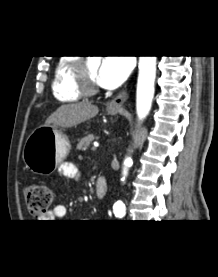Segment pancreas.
Listing matches in <instances>:
<instances>
[{
  "label": "pancreas",
  "mask_w": 218,
  "mask_h": 277,
  "mask_svg": "<svg viewBox=\"0 0 218 277\" xmlns=\"http://www.w3.org/2000/svg\"><path fill=\"white\" fill-rule=\"evenodd\" d=\"M94 135L90 134L80 140V142L77 144L78 150H87V148L90 146V143L94 140Z\"/></svg>",
  "instance_id": "1"
}]
</instances>
